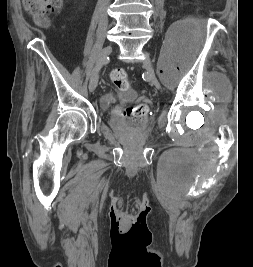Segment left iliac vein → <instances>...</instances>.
<instances>
[{"instance_id": "left-iliac-vein-1", "label": "left iliac vein", "mask_w": 253, "mask_h": 267, "mask_svg": "<svg viewBox=\"0 0 253 267\" xmlns=\"http://www.w3.org/2000/svg\"><path fill=\"white\" fill-rule=\"evenodd\" d=\"M143 64H144V66L146 68L147 73L150 74L149 77H150L152 85H154L157 89H160L161 84H160V82L158 81L157 77L154 74V66H153V63L151 62V60L149 58H146L143 61Z\"/></svg>"}]
</instances>
